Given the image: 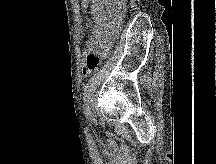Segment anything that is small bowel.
I'll return each instance as SVG.
<instances>
[{
    "label": "small bowel",
    "instance_id": "obj_1",
    "mask_svg": "<svg viewBox=\"0 0 216 164\" xmlns=\"http://www.w3.org/2000/svg\"><path fill=\"white\" fill-rule=\"evenodd\" d=\"M90 7L92 32L85 44V52L106 56L117 36L125 9V0H84Z\"/></svg>",
    "mask_w": 216,
    "mask_h": 164
}]
</instances>
